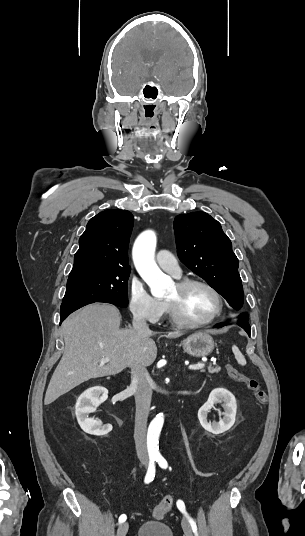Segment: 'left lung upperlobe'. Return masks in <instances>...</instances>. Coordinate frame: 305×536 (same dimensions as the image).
I'll return each mask as SVG.
<instances>
[{"instance_id":"left-lung-upper-lobe-1","label":"left lung upper lobe","mask_w":305,"mask_h":536,"mask_svg":"<svg viewBox=\"0 0 305 536\" xmlns=\"http://www.w3.org/2000/svg\"><path fill=\"white\" fill-rule=\"evenodd\" d=\"M174 230L180 260L239 310L243 304L239 262L220 223L205 212H192L178 215Z\"/></svg>"}]
</instances>
